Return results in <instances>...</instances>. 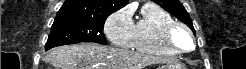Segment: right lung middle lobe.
I'll list each match as a JSON object with an SVG mask.
<instances>
[{
  "label": "right lung middle lobe",
  "instance_id": "obj_1",
  "mask_svg": "<svg viewBox=\"0 0 246 69\" xmlns=\"http://www.w3.org/2000/svg\"><path fill=\"white\" fill-rule=\"evenodd\" d=\"M105 19L64 18L55 19L45 50L56 46L94 42L107 44L103 34Z\"/></svg>",
  "mask_w": 246,
  "mask_h": 69
}]
</instances>
